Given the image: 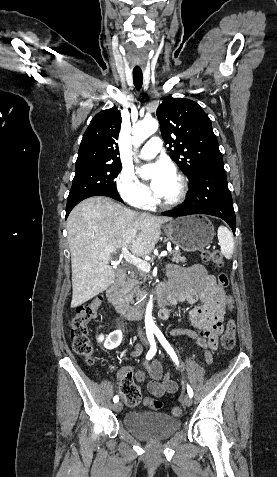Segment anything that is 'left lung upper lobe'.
<instances>
[{"label":"left lung upper lobe","instance_id":"1","mask_svg":"<svg viewBox=\"0 0 277 477\" xmlns=\"http://www.w3.org/2000/svg\"><path fill=\"white\" fill-rule=\"evenodd\" d=\"M156 115L168 149L175 148L170 157L189 181L201 167L223 161L211 121L198 103L167 97L158 107Z\"/></svg>","mask_w":277,"mask_h":477}]
</instances>
